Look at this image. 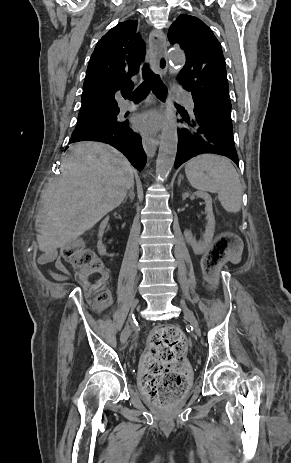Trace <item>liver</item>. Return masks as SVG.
Listing matches in <instances>:
<instances>
[{
  "label": "liver",
  "mask_w": 291,
  "mask_h": 463,
  "mask_svg": "<svg viewBox=\"0 0 291 463\" xmlns=\"http://www.w3.org/2000/svg\"><path fill=\"white\" fill-rule=\"evenodd\" d=\"M132 185L133 168L122 153L92 141L72 145L36 220L39 249L53 254L76 240L118 207Z\"/></svg>",
  "instance_id": "6515ba94"
}]
</instances>
